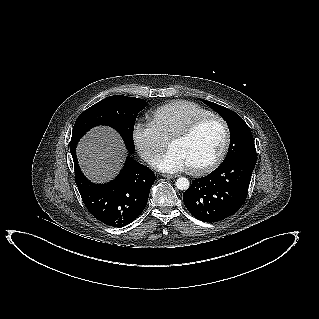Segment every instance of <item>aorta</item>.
<instances>
[{"instance_id": "obj_1", "label": "aorta", "mask_w": 319, "mask_h": 319, "mask_svg": "<svg viewBox=\"0 0 319 319\" xmlns=\"http://www.w3.org/2000/svg\"><path fill=\"white\" fill-rule=\"evenodd\" d=\"M176 186L180 190H187L189 188V180L185 177H180L176 181Z\"/></svg>"}]
</instances>
